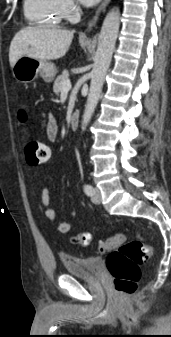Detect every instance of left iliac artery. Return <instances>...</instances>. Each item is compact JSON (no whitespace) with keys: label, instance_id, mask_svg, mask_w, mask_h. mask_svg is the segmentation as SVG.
I'll use <instances>...</instances> for the list:
<instances>
[{"label":"left iliac artery","instance_id":"obj_1","mask_svg":"<svg viewBox=\"0 0 171 337\" xmlns=\"http://www.w3.org/2000/svg\"><path fill=\"white\" fill-rule=\"evenodd\" d=\"M84 191L87 195H93V193H94V189L90 184L84 185Z\"/></svg>","mask_w":171,"mask_h":337}]
</instances>
